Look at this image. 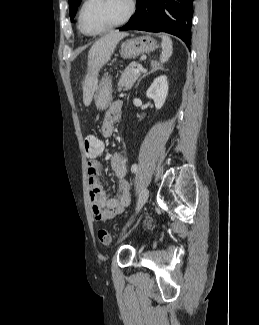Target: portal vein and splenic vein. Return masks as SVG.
Listing matches in <instances>:
<instances>
[{
    "label": "portal vein and splenic vein",
    "instance_id": "18ae733b",
    "mask_svg": "<svg viewBox=\"0 0 259 325\" xmlns=\"http://www.w3.org/2000/svg\"><path fill=\"white\" fill-rule=\"evenodd\" d=\"M141 68L137 67L136 69H134V73H140Z\"/></svg>",
    "mask_w": 259,
    "mask_h": 325
}]
</instances>
